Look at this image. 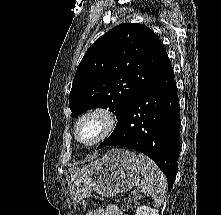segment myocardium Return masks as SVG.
<instances>
[{
  "label": "myocardium",
  "instance_id": "obj_1",
  "mask_svg": "<svg viewBox=\"0 0 221 215\" xmlns=\"http://www.w3.org/2000/svg\"><path fill=\"white\" fill-rule=\"evenodd\" d=\"M89 118L99 119L101 122V129L94 139H92L89 142H83L79 137V129L80 126L83 124V122ZM116 125H117V118L112 110L106 107L96 106L85 110L77 118L73 128V135L76 142L80 146L89 148L107 139L115 130Z\"/></svg>",
  "mask_w": 221,
  "mask_h": 215
}]
</instances>
